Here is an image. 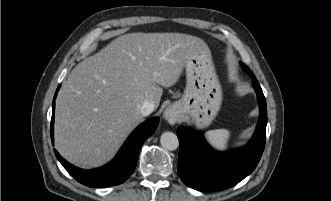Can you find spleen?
Instances as JSON below:
<instances>
[{"instance_id": "obj_1", "label": "spleen", "mask_w": 331, "mask_h": 201, "mask_svg": "<svg viewBox=\"0 0 331 201\" xmlns=\"http://www.w3.org/2000/svg\"><path fill=\"white\" fill-rule=\"evenodd\" d=\"M205 137L213 148L224 151L228 146L230 131L227 129L209 130L205 133Z\"/></svg>"}]
</instances>
